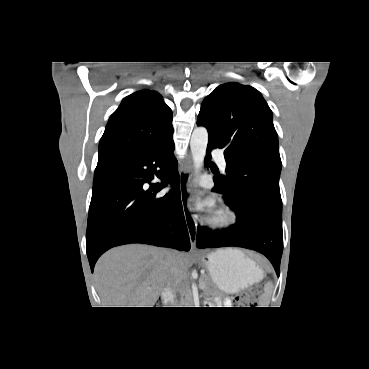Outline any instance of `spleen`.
<instances>
[{
    "label": "spleen",
    "instance_id": "spleen-1",
    "mask_svg": "<svg viewBox=\"0 0 369 369\" xmlns=\"http://www.w3.org/2000/svg\"><path fill=\"white\" fill-rule=\"evenodd\" d=\"M271 288H272V286L270 284L265 285V287H264L265 294L263 296L261 305H268V299L267 298H268V295L271 291ZM264 307H267V306H264Z\"/></svg>",
    "mask_w": 369,
    "mask_h": 369
}]
</instances>
